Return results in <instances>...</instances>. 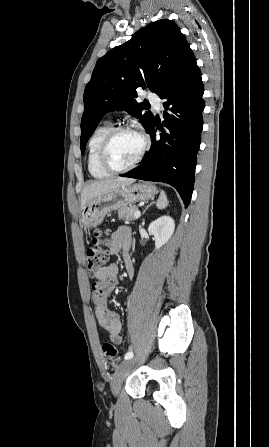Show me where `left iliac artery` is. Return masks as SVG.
Wrapping results in <instances>:
<instances>
[{
	"instance_id": "obj_1",
	"label": "left iliac artery",
	"mask_w": 269,
	"mask_h": 447,
	"mask_svg": "<svg viewBox=\"0 0 269 447\" xmlns=\"http://www.w3.org/2000/svg\"><path fill=\"white\" fill-rule=\"evenodd\" d=\"M133 357V352H128L125 355V359H131Z\"/></svg>"
}]
</instances>
